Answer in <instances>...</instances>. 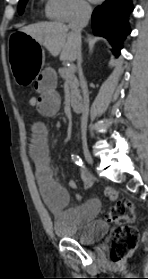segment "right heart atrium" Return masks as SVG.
Masks as SVG:
<instances>
[{"instance_id": "d8ad5b80", "label": "right heart atrium", "mask_w": 148, "mask_h": 279, "mask_svg": "<svg viewBox=\"0 0 148 279\" xmlns=\"http://www.w3.org/2000/svg\"><path fill=\"white\" fill-rule=\"evenodd\" d=\"M90 6L85 0H47L46 14L60 22H71L88 15Z\"/></svg>"}]
</instances>
